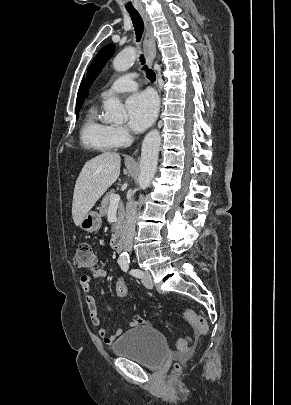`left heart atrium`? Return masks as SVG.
Masks as SVG:
<instances>
[{"label":"left heart atrium","instance_id":"39dd6f15","mask_svg":"<svg viewBox=\"0 0 291 405\" xmlns=\"http://www.w3.org/2000/svg\"><path fill=\"white\" fill-rule=\"evenodd\" d=\"M129 126L137 132L145 130L157 113V101L150 92L131 96L126 102Z\"/></svg>","mask_w":291,"mask_h":405}]
</instances>
